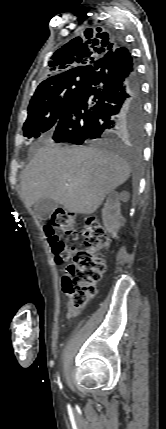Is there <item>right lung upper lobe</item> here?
<instances>
[{"instance_id":"right-lung-upper-lobe-1","label":"right lung upper lobe","mask_w":166,"mask_h":429,"mask_svg":"<svg viewBox=\"0 0 166 429\" xmlns=\"http://www.w3.org/2000/svg\"><path fill=\"white\" fill-rule=\"evenodd\" d=\"M87 29L83 35L70 40L50 58L46 67V79L34 94L48 90L59 81L76 75L91 73L93 64L107 52L120 47L112 33Z\"/></svg>"}]
</instances>
